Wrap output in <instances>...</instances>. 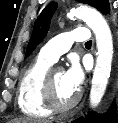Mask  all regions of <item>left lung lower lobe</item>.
<instances>
[{
  "instance_id": "left-lung-lower-lobe-1",
  "label": "left lung lower lobe",
  "mask_w": 118,
  "mask_h": 123,
  "mask_svg": "<svg viewBox=\"0 0 118 123\" xmlns=\"http://www.w3.org/2000/svg\"><path fill=\"white\" fill-rule=\"evenodd\" d=\"M72 123H116L115 110L111 108L108 113L103 116L90 113L86 118L80 117Z\"/></svg>"
}]
</instances>
